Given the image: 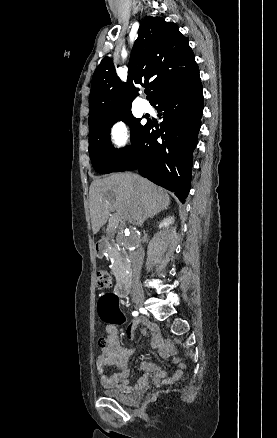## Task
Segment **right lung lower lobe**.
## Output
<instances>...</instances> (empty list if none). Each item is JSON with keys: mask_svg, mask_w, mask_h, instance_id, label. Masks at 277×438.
<instances>
[{"mask_svg": "<svg viewBox=\"0 0 277 438\" xmlns=\"http://www.w3.org/2000/svg\"><path fill=\"white\" fill-rule=\"evenodd\" d=\"M202 90L198 70L162 88L150 101L163 119L160 127L147 122L130 155L113 172L137 169L141 176L175 192L185 203L191 185L192 153L201 126Z\"/></svg>", "mask_w": 277, "mask_h": 438, "instance_id": "1", "label": "right lung lower lobe"}]
</instances>
